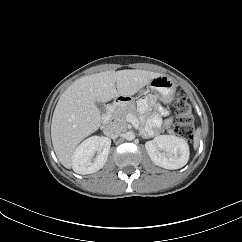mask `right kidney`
I'll use <instances>...</instances> for the list:
<instances>
[{"label":"right kidney","mask_w":242,"mask_h":242,"mask_svg":"<svg viewBox=\"0 0 242 242\" xmlns=\"http://www.w3.org/2000/svg\"><path fill=\"white\" fill-rule=\"evenodd\" d=\"M110 146L111 141L107 137L92 136L87 138L73 153V170L83 175L100 170L107 161ZM96 152H98V155L93 159Z\"/></svg>","instance_id":"right-kidney-1"}]
</instances>
